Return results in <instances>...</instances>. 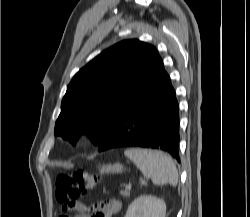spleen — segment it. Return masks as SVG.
I'll use <instances>...</instances> for the list:
<instances>
[{"label":"spleen","instance_id":"obj_1","mask_svg":"<svg viewBox=\"0 0 250 217\" xmlns=\"http://www.w3.org/2000/svg\"><path fill=\"white\" fill-rule=\"evenodd\" d=\"M144 177L150 178L155 185L178 183V171L174 160L164 152L141 148H129L124 151Z\"/></svg>","mask_w":250,"mask_h":217}]
</instances>
